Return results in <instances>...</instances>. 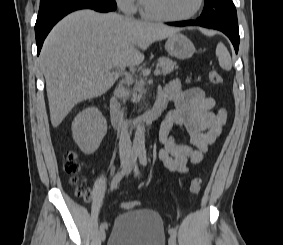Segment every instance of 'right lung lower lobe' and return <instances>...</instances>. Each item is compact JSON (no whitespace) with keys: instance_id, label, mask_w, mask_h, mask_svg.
Masks as SVG:
<instances>
[{"instance_id":"98d812e1","label":"right lung lower lobe","mask_w":283,"mask_h":245,"mask_svg":"<svg viewBox=\"0 0 283 245\" xmlns=\"http://www.w3.org/2000/svg\"><path fill=\"white\" fill-rule=\"evenodd\" d=\"M114 0H58L40 6L35 24L37 54L39 55L44 39L52 27L64 16L79 9H93L99 12L114 11Z\"/></svg>"}]
</instances>
